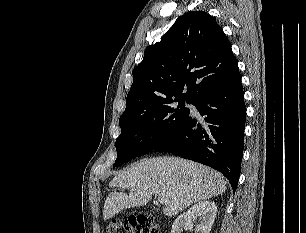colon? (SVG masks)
<instances>
[{"label": "colon", "mask_w": 306, "mask_h": 233, "mask_svg": "<svg viewBox=\"0 0 306 233\" xmlns=\"http://www.w3.org/2000/svg\"><path fill=\"white\" fill-rule=\"evenodd\" d=\"M157 233L158 224L149 216L139 215L123 221L111 220L104 227V233Z\"/></svg>", "instance_id": "5ec220e1"}]
</instances>
